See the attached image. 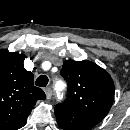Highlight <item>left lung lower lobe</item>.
<instances>
[{
	"label": "left lung lower lobe",
	"mask_w": 130,
	"mask_h": 130,
	"mask_svg": "<svg viewBox=\"0 0 130 130\" xmlns=\"http://www.w3.org/2000/svg\"><path fill=\"white\" fill-rule=\"evenodd\" d=\"M55 116L58 125L63 130H89L100 121L82 113H78L61 105L55 107Z\"/></svg>",
	"instance_id": "1"
}]
</instances>
